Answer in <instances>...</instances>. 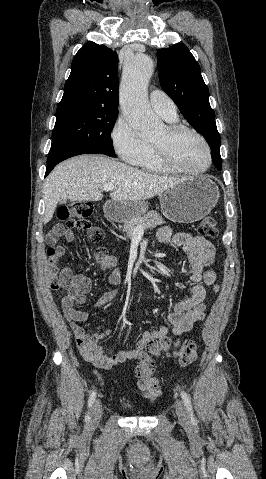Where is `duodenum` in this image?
Returning <instances> with one entry per match:
<instances>
[{"label": "duodenum", "instance_id": "obj_1", "mask_svg": "<svg viewBox=\"0 0 266 479\" xmlns=\"http://www.w3.org/2000/svg\"><path fill=\"white\" fill-rule=\"evenodd\" d=\"M106 212H107V213H111V209H110L109 206H106Z\"/></svg>", "mask_w": 266, "mask_h": 479}]
</instances>
